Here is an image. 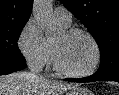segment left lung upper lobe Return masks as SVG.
I'll return each instance as SVG.
<instances>
[{"label":"left lung upper lobe","mask_w":119,"mask_h":95,"mask_svg":"<svg viewBox=\"0 0 119 95\" xmlns=\"http://www.w3.org/2000/svg\"><path fill=\"white\" fill-rule=\"evenodd\" d=\"M97 41L101 64L96 73L119 72V0H60Z\"/></svg>","instance_id":"5c2ea615"}]
</instances>
